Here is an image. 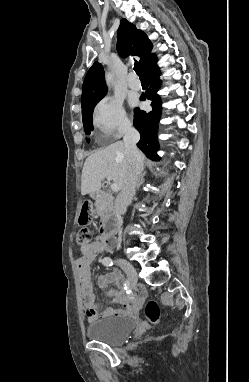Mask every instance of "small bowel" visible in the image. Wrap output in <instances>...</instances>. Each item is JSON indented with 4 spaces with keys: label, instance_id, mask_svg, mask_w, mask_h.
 <instances>
[{
    "label": "small bowel",
    "instance_id": "obj_1",
    "mask_svg": "<svg viewBox=\"0 0 249 382\" xmlns=\"http://www.w3.org/2000/svg\"><path fill=\"white\" fill-rule=\"evenodd\" d=\"M117 246V241L113 238L101 234L90 240L87 244L80 246L81 256L75 259V267L81 287L83 306L85 309V319L92 323L99 317H117L122 315L136 314L141 304V298L144 295V289L139 286L136 289V297L128 299L124 289V279L117 271L100 275L98 278L99 287L106 289L110 285L115 288L110 289L108 293L114 297V300L122 305L120 309L106 308L101 310L97 302V296L94 291L91 274V263L97 255L103 251L113 250Z\"/></svg>",
    "mask_w": 249,
    "mask_h": 382
}]
</instances>
